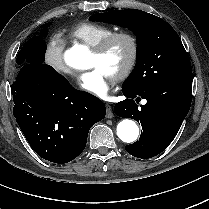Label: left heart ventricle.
<instances>
[{"instance_id": "1", "label": "left heart ventricle", "mask_w": 209, "mask_h": 209, "mask_svg": "<svg viewBox=\"0 0 209 209\" xmlns=\"http://www.w3.org/2000/svg\"><path fill=\"white\" fill-rule=\"evenodd\" d=\"M129 55L130 45L126 40L121 39L113 44L104 57H98L92 53L90 67H99L114 78L127 62Z\"/></svg>"}]
</instances>
